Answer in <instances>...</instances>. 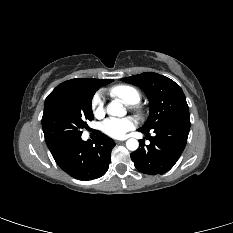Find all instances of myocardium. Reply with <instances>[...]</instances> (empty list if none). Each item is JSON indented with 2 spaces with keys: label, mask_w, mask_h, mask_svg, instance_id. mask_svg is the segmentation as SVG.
<instances>
[{
  "label": "myocardium",
  "mask_w": 233,
  "mask_h": 233,
  "mask_svg": "<svg viewBox=\"0 0 233 233\" xmlns=\"http://www.w3.org/2000/svg\"><path fill=\"white\" fill-rule=\"evenodd\" d=\"M132 108L134 109V111H136L140 115L143 114L144 112V108L140 106L139 104H134Z\"/></svg>",
  "instance_id": "obj_1"
}]
</instances>
